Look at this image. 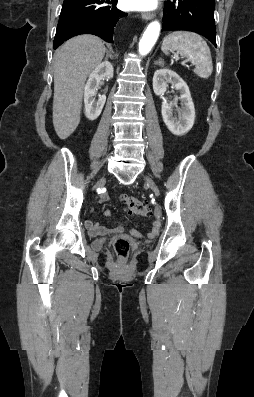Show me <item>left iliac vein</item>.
I'll list each match as a JSON object with an SVG mask.
<instances>
[{"mask_svg":"<svg viewBox=\"0 0 254 397\" xmlns=\"http://www.w3.org/2000/svg\"><path fill=\"white\" fill-rule=\"evenodd\" d=\"M145 181H146L147 185L153 190V192L155 194L159 193V190H158L156 184L154 183V181L150 177H148V176L145 177Z\"/></svg>","mask_w":254,"mask_h":397,"instance_id":"1","label":"left iliac vein"}]
</instances>
